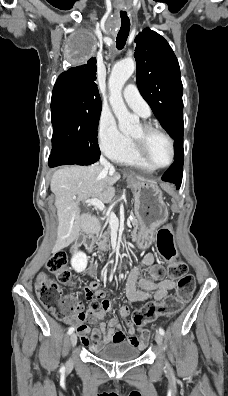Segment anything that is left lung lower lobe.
<instances>
[{
	"label": "left lung lower lobe",
	"mask_w": 228,
	"mask_h": 396,
	"mask_svg": "<svg viewBox=\"0 0 228 396\" xmlns=\"http://www.w3.org/2000/svg\"><path fill=\"white\" fill-rule=\"evenodd\" d=\"M174 143L175 159L171 167L162 176V180L166 182L175 183L177 189H179L182 182L183 175V160H184V150H183V134L178 135Z\"/></svg>",
	"instance_id": "left-lung-lower-lobe-1"
}]
</instances>
